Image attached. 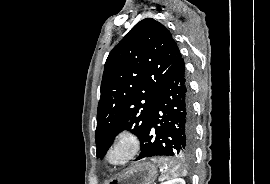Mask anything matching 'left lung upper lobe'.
Here are the masks:
<instances>
[{
  "mask_svg": "<svg viewBox=\"0 0 270 184\" xmlns=\"http://www.w3.org/2000/svg\"><path fill=\"white\" fill-rule=\"evenodd\" d=\"M180 58L169 30L152 18L138 22L112 49L105 63L97 109L99 158L125 129L141 141L157 95Z\"/></svg>",
  "mask_w": 270,
  "mask_h": 184,
  "instance_id": "1",
  "label": "left lung upper lobe"
}]
</instances>
